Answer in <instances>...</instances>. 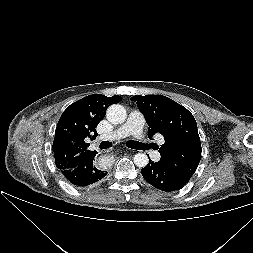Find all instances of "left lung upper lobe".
<instances>
[{
  "mask_svg": "<svg viewBox=\"0 0 253 253\" xmlns=\"http://www.w3.org/2000/svg\"><path fill=\"white\" fill-rule=\"evenodd\" d=\"M149 126L148 137L160 133L165 143L159 148L160 163L187 182L201 159V143L193 115L185 107L162 95H135Z\"/></svg>",
  "mask_w": 253,
  "mask_h": 253,
  "instance_id": "obj_1",
  "label": "left lung upper lobe"
}]
</instances>
